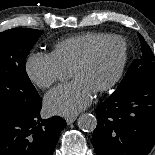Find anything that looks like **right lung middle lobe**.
Instances as JSON below:
<instances>
[{
	"instance_id": "right-lung-middle-lobe-1",
	"label": "right lung middle lobe",
	"mask_w": 155,
	"mask_h": 155,
	"mask_svg": "<svg viewBox=\"0 0 155 155\" xmlns=\"http://www.w3.org/2000/svg\"><path fill=\"white\" fill-rule=\"evenodd\" d=\"M43 31L15 28L0 33V114L29 113L40 96L25 69L26 57Z\"/></svg>"
}]
</instances>
